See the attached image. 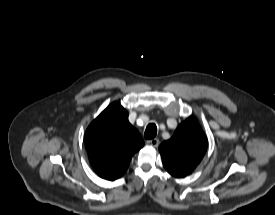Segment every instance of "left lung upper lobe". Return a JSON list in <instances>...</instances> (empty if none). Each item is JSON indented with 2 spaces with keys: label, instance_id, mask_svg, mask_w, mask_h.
<instances>
[{
  "label": "left lung upper lobe",
  "instance_id": "left-lung-upper-lobe-1",
  "mask_svg": "<svg viewBox=\"0 0 275 215\" xmlns=\"http://www.w3.org/2000/svg\"><path fill=\"white\" fill-rule=\"evenodd\" d=\"M207 138L193 116L182 122L171 139L164 141L159 151L165 169L175 177L192 173L207 150Z\"/></svg>",
  "mask_w": 275,
  "mask_h": 215
}]
</instances>
